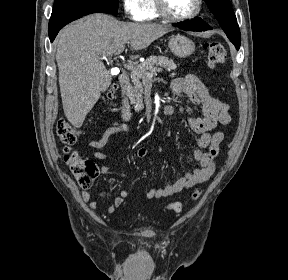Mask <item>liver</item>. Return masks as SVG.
I'll list each match as a JSON object with an SVG mask.
<instances>
[{"instance_id": "liver-1", "label": "liver", "mask_w": 288, "mask_h": 280, "mask_svg": "<svg viewBox=\"0 0 288 280\" xmlns=\"http://www.w3.org/2000/svg\"><path fill=\"white\" fill-rule=\"evenodd\" d=\"M171 31L160 24L121 22L106 14H93L66 26L59 33L56 61L66 118L81 127L86 115L111 84L102 60L127 42L133 50L147 48ZM138 56H131L136 59Z\"/></svg>"}]
</instances>
